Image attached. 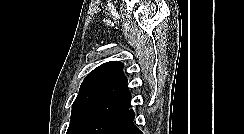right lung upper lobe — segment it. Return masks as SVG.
Segmentation results:
<instances>
[{
  "label": "right lung upper lobe",
  "mask_w": 244,
  "mask_h": 134,
  "mask_svg": "<svg viewBox=\"0 0 244 134\" xmlns=\"http://www.w3.org/2000/svg\"><path fill=\"white\" fill-rule=\"evenodd\" d=\"M123 63L118 61L106 62L84 79L72 109L91 101L116 99L131 100L127 87V78L123 73Z\"/></svg>",
  "instance_id": "1"
}]
</instances>
